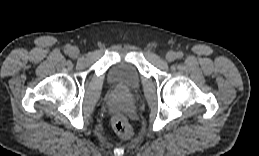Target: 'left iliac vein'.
Listing matches in <instances>:
<instances>
[{"label": "left iliac vein", "mask_w": 259, "mask_h": 156, "mask_svg": "<svg viewBox=\"0 0 259 156\" xmlns=\"http://www.w3.org/2000/svg\"><path fill=\"white\" fill-rule=\"evenodd\" d=\"M176 57H177V55H176V53L173 52V51H169V52L166 54V60H167L168 62L174 61V60L176 59Z\"/></svg>", "instance_id": "left-iliac-vein-1"}]
</instances>
